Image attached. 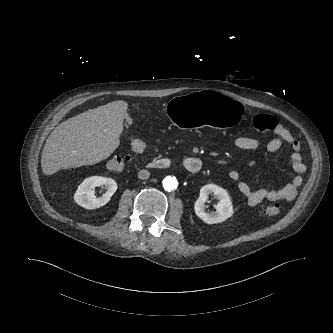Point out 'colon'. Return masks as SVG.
<instances>
[{"label":"colon","instance_id":"obj_1","mask_svg":"<svg viewBox=\"0 0 333 333\" xmlns=\"http://www.w3.org/2000/svg\"><path fill=\"white\" fill-rule=\"evenodd\" d=\"M277 120L270 115L259 114L253 119V126L258 132H269L273 131L277 126ZM132 160L130 155L126 156H114L110 158L106 167L110 171H120L124 168V166ZM264 215L267 217L276 216L279 213V206L277 204H271L264 208Z\"/></svg>","mask_w":333,"mask_h":333}]
</instances>
